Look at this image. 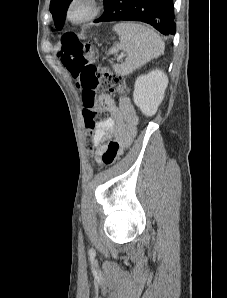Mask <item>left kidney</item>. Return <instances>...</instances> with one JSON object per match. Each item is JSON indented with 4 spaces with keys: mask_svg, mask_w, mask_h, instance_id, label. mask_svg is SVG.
Instances as JSON below:
<instances>
[{
    "mask_svg": "<svg viewBox=\"0 0 227 298\" xmlns=\"http://www.w3.org/2000/svg\"><path fill=\"white\" fill-rule=\"evenodd\" d=\"M168 85V77L163 71L156 69L141 75L134 85L133 99L136 106L146 116H153L164 98Z\"/></svg>",
    "mask_w": 227,
    "mask_h": 298,
    "instance_id": "left-kidney-1",
    "label": "left kidney"
}]
</instances>
